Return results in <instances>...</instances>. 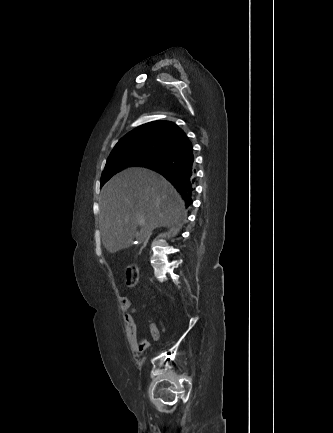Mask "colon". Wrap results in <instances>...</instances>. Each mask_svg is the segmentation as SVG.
Masks as SVG:
<instances>
[{
  "label": "colon",
  "instance_id": "obj_1",
  "mask_svg": "<svg viewBox=\"0 0 333 433\" xmlns=\"http://www.w3.org/2000/svg\"><path fill=\"white\" fill-rule=\"evenodd\" d=\"M127 285L135 286L139 281V269L136 265L130 264L126 267Z\"/></svg>",
  "mask_w": 333,
  "mask_h": 433
}]
</instances>
